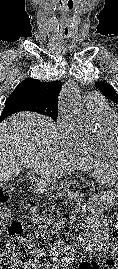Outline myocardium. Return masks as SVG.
Here are the masks:
<instances>
[{
    "mask_svg": "<svg viewBox=\"0 0 118 269\" xmlns=\"http://www.w3.org/2000/svg\"><path fill=\"white\" fill-rule=\"evenodd\" d=\"M106 129L112 149L118 154V142L115 136V132L118 129V115L108 122Z\"/></svg>",
    "mask_w": 118,
    "mask_h": 269,
    "instance_id": "1",
    "label": "myocardium"
}]
</instances>
